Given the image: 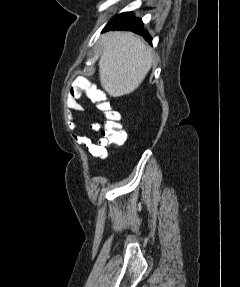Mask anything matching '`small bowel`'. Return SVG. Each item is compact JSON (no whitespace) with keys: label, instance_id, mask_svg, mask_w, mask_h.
<instances>
[{"label":"small bowel","instance_id":"small-bowel-1","mask_svg":"<svg viewBox=\"0 0 240 287\" xmlns=\"http://www.w3.org/2000/svg\"><path fill=\"white\" fill-rule=\"evenodd\" d=\"M85 92L80 86L73 85L65 98L66 107L75 112H83L84 107L80 103V100L84 98ZM101 130V123L96 122L92 123L89 126V131L93 133H97ZM78 142L84 144L88 147L90 152L95 156L99 157L100 159L104 160L107 158V142L104 140L103 137L99 138L96 142H93L91 139L87 137H77Z\"/></svg>","mask_w":240,"mask_h":287}]
</instances>
